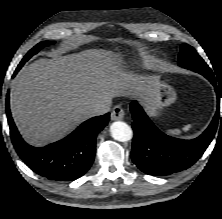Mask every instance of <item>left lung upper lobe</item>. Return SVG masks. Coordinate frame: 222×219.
Segmentation results:
<instances>
[{"mask_svg":"<svg viewBox=\"0 0 222 219\" xmlns=\"http://www.w3.org/2000/svg\"><path fill=\"white\" fill-rule=\"evenodd\" d=\"M178 65L184 67L186 69H190L193 71L197 70H206L209 71L210 68L204 62V60L197 54L195 49L184 43L181 46L179 58H178Z\"/></svg>","mask_w":222,"mask_h":219,"instance_id":"left-lung-upper-lobe-1","label":"left lung upper lobe"}]
</instances>
